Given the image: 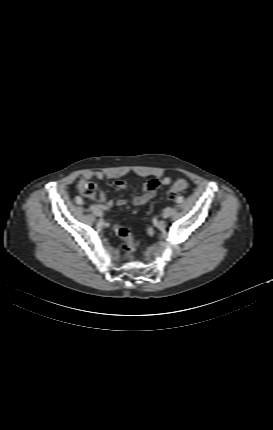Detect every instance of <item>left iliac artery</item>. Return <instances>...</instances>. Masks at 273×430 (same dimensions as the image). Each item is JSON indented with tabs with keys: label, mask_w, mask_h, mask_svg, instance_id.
I'll list each match as a JSON object with an SVG mask.
<instances>
[{
	"label": "left iliac artery",
	"mask_w": 273,
	"mask_h": 430,
	"mask_svg": "<svg viewBox=\"0 0 273 430\" xmlns=\"http://www.w3.org/2000/svg\"><path fill=\"white\" fill-rule=\"evenodd\" d=\"M182 202H183V198L182 197H179V198L176 199V203H182Z\"/></svg>",
	"instance_id": "1"
}]
</instances>
